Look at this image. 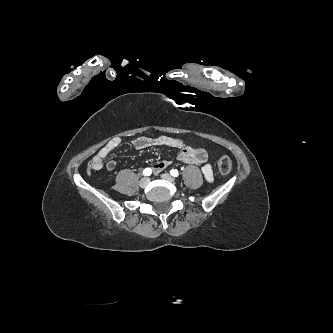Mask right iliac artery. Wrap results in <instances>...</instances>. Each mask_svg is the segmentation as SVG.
Segmentation results:
<instances>
[{"label": "right iliac artery", "instance_id": "1", "mask_svg": "<svg viewBox=\"0 0 333 333\" xmlns=\"http://www.w3.org/2000/svg\"><path fill=\"white\" fill-rule=\"evenodd\" d=\"M152 173V170L150 168H145L143 171L144 176H150Z\"/></svg>", "mask_w": 333, "mask_h": 333}]
</instances>
